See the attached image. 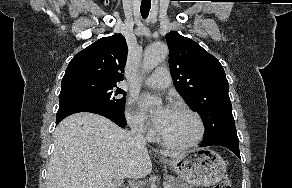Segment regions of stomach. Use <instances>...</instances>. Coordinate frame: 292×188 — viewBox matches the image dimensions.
Listing matches in <instances>:
<instances>
[{
  "label": "stomach",
  "instance_id": "0dacf381",
  "mask_svg": "<svg viewBox=\"0 0 292 188\" xmlns=\"http://www.w3.org/2000/svg\"><path fill=\"white\" fill-rule=\"evenodd\" d=\"M177 175L192 186H211L225 175L226 163L210 148H195L166 161Z\"/></svg>",
  "mask_w": 292,
  "mask_h": 188
}]
</instances>
